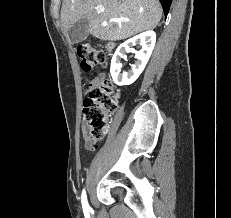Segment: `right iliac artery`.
<instances>
[{"instance_id":"1","label":"right iliac artery","mask_w":231,"mask_h":218,"mask_svg":"<svg viewBox=\"0 0 231 218\" xmlns=\"http://www.w3.org/2000/svg\"><path fill=\"white\" fill-rule=\"evenodd\" d=\"M82 207L85 214L89 213L90 207L87 201L85 190L82 192Z\"/></svg>"}]
</instances>
